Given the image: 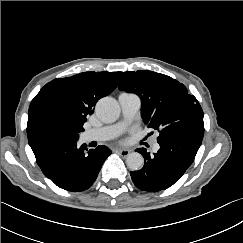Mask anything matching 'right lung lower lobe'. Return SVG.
<instances>
[{
    "mask_svg": "<svg viewBox=\"0 0 243 243\" xmlns=\"http://www.w3.org/2000/svg\"><path fill=\"white\" fill-rule=\"evenodd\" d=\"M27 136L42 172L58 187L72 192L91 187L110 155L104 146L85 153V144L78 147V140L53 129L33 130Z\"/></svg>",
    "mask_w": 243,
    "mask_h": 243,
    "instance_id": "1",
    "label": "right lung lower lobe"
}]
</instances>
